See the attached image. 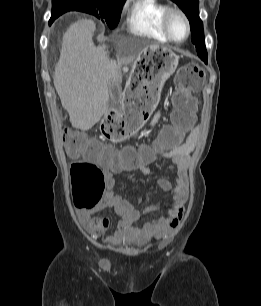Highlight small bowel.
Returning a JSON list of instances; mask_svg holds the SVG:
<instances>
[{
  "label": "small bowel",
  "instance_id": "small-bowel-1",
  "mask_svg": "<svg viewBox=\"0 0 261 306\" xmlns=\"http://www.w3.org/2000/svg\"><path fill=\"white\" fill-rule=\"evenodd\" d=\"M160 116V112L155 114L151 126H155L158 123ZM198 140L199 130L196 128L190 133L183 144L160 153V156L171 162L170 169L174 171V181L160 178L157 184L163 191L172 196V206L166 216L152 218L141 227H136L134 224L142 218L157 212L161 205L157 203L143 210H138L122 195L113 191L115 185L114 173L136 170L145 175H149L151 173L149 162L152 159L148 161H139L135 164L113 163V152L109 149H105V151L109 153L107 159L110 162L107 163L105 169L104 196L93 209L77 212L79 222L91 236L96 237L100 232L109 228L111 221L109 217H97L95 213L104 208L111 207L115 210L120 220L114 233L105 239V243L108 245L143 244L153 238H162L170 235L179 226L183 217L184 202L188 189L187 165L190 153L196 147Z\"/></svg>",
  "mask_w": 261,
  "mask_h": 306
}]
</instances>
